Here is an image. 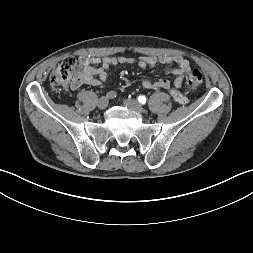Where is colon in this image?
Returning <instances> with one entry per match:
<instances>
[{
	"label": "colon",
	"mask_w": 253,
	"mask_h": 253,
	"mask_svg": "<svg viewBox=\"0 0 253 253\" xmlns=\"http://www.w3.org/2000/svg\"><path fill=\"white\" fill-rule=\"evenodd\" d=\"M83 66L74 57L64 58L50 75V86L54 91L66 90L73 85L82 73ZM203 82V75L199 70H193L185 77V84L189 88H197Z\"/></svg>",
	"instance_id": "5ec220e1"
}]
</instances>
